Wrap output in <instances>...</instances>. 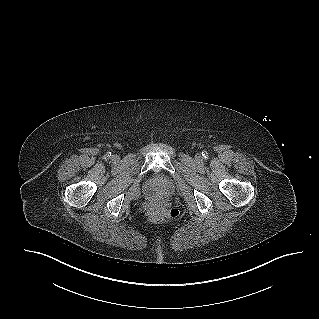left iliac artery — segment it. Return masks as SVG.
I'll return each mask as SVG.
<instances>
[{
  "instance_id": "left-iliac-artery-1",
  "label": "left iliac artery",
  "mask_w": 319,
  "mask_h": 319,
  "mask_svg": "<svg viewBox=\"0 0 319 319\" xmlns=\"http://www.w3.org/2000/svg\"><path fill=\"white\" fill-rule=\"evenodd\" d=\"M202 155L206 158L207 157V152L206 151L202 152Z\"/></svg>"
}]
</instances>
